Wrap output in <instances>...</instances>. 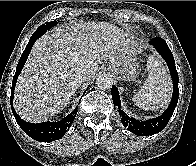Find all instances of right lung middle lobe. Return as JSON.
<instances>
[{"mask_svg":"<svg viewBox=\"0 0 196 166\" xmlns=\"http://www.w3.org/2000/svg\"><path fill=\"white\" fill-rule=\"evenodd\" d=\"M57 24L56 21L47 22L46 24L41 25L33 35L42 36L47 30L51 29L53 26Z\"/></svg>","mask_w":196,"mask_h":166,"instance_id":"right-lung-middle-lobe-1","label":"right lung middle lobe"}]
</instances>
